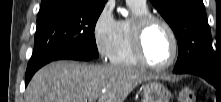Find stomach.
<instances>
[{"label": "stomach", "mask_w": 221, "mask_h": 102, "mask_svg": "<svg viewBox=\"0 0 221 102\" xmlns=\"http://www.w3.org/2000/svg\"><path fill=\"white\" fill-rule=\"evenodd\" d=\"M143 97V102H170L172 95L162 83L150 81L143 86Z\"/></svg>", "instance_id": "stomach-1"}]
</instances>
